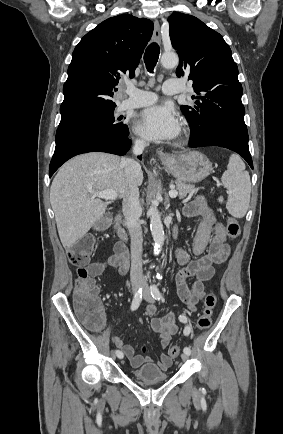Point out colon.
Returning a JSON list of instances; mask_svg holds the SVG:
<instances>
[{
	"mask_svg": "<svg viewBox=\"0 0 283 434\" xmlns=\"http://www.w3.org/2000/svg\"><path fill=\"white\" fill-rule=\"evenodd\" d=\"M240 224L235 218H229L226 233L235 239L240 235ZM95 247L92 236H84L76 241L68 250V260L76 268L74 307L82 322L91 330H100L103 325V310L98 296V286L89 269V262ZM216 305V296L209 293L204 300L203 310L198 318L199 330H206L212 323V313ZM180 354V348L173 346L169 349L172 358Z\"/></svg>",
	"mask_w": 283,
	"mask_h": 434,
	"instance_id": "1",
	"label": "colon"
}]
</instances>
